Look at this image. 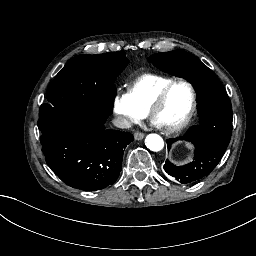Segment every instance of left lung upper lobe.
I'll list each match as a JSON object with an SVG mask.
<instances>
[{
    "label": "left lung upper lobe",
    "instance_id": "5c2ea615",
    "mask_svg": "<svg viewBox=\"0 0 256 256\" xmlns=\"http://www.w3.org/2000/svg\"><path fill=\"white\" fill-rule=\"evenodd\" d=\"M148 61L164 72L190 81L199 103L200 125L191 128L184 137L167 140L168 150L178 139L193 141V161L175 166L167 160L164 170L167 173L206 176L221 160L232 134V107L223 85L212 70L183 50L153 54Z\"/></svg>",
    "mask_w": 256,
    "mask_h": 256
}]
</instances>
